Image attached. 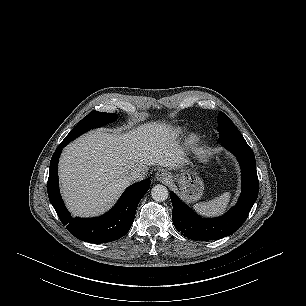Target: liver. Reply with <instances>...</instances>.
I'll return each mask as SVG.
<instances>
[{
    "mask_svg": "<svg viewBox=\"0 0 306 306\" xmlns=\"http://www.w3.org/2000/svg\"><path fill=\"white\" fill-rule=\"evenodd\" d=\"M186 162L176 132L165 123L144 124L123 134L98 129L64 148L59 161L62 195L73 215H99L130 185L134 168L177 169Z\"/></svg>",
    "mask_w": 306,
    "mask_h": 306,
    "instance_id": "liver-1",
    "label": "liver"
}]
</instances>
